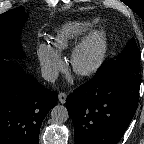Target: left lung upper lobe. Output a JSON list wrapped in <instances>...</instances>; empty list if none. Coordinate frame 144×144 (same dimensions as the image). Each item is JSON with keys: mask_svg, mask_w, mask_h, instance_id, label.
<instances>
[{"mask_svg": "<svg viewBox=\"0 0 144 144\" xmlns=\"http://www.w3.org/2000/svg\"><path fill=\"white\" fill-rule=\"evenodd\" d=\"M140 53L135 39H131L124 50L118 55L116 61L102 65L103 73L106 77L116 74H138L139 73Z\"/></svg>", "mask_w": 144, "mask_h": 144, "instance_id": "left-lung-upper-lobe-1", "label": "left lung upper lobe"}]
</instances>
